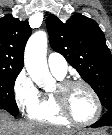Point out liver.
<instances>
[{
	"instance_id": "liver-1",
	"label": "liver",
	"mask_w": 112,
	"mask_h": 135,
	"mask_svg": "<svg viewBox=\"0 0 112 135\" xmlns=\"http://www.w3.org/2000/svg\"><path fill=\"white\" fill-rule=\"evenodd\" d=\"M71 133L39 122H16L6 111L0 110V135H71Z\"/></svg>"
}]
</instances>
